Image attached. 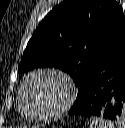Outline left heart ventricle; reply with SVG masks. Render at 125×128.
Listing matches in <instances>:
<instances>
[{
  "label": "left heart ventricle",
  "instance_id": "left-heart-ventricle-1",
  "mask_svg": "<svg viewBox=\"0 0 125 128\" xmlns=\"http://www.w3.org/2000/svg\"><path fill=\"white\" fill-rule=\"evenodd\" d=\"M66 86L55 76L39 75L32 79L24 93L26 111L48 113L58 108L66 97Z\"/></svg>",
  "mask_w": 125,
  "mask_h": 128
}]
</instances>
